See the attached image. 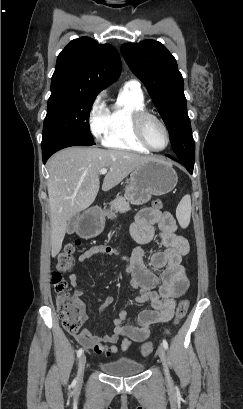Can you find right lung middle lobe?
Returning a JSON list of instances; mask_svg holds the SVG:
<instances>
[{
  "mask_svg": "<svg viewBox=\"0 0 243 409\" xmlns=\"http://www.w3.org/2000/svg\"><path fill=\"white\" fill-rule=\"evenodd\" d=\"M96 96L51 85L42 143L58 136L94 142L89 128V114Z\"/></svg>",
  "mask_w": 243,
  "mask_h": 409,
  "instance_id": "obj_1",
  "label": "right lung middle lobe"
}]
</instances>
